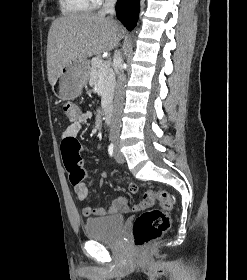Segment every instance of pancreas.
I'll list each match as a JSON object with an SVG mask.
<instances>
[{
	"label": "pancreas",
	"instance_id": "obj_1",
	"mask_svg": "<svg viewBox=\"0 0 247 280\" xmlns=\"http://www.w3.org/2000/svg\"><path fill=\"white\" fill-rule=\"evenodd\" d=\"M103 60L99 57H94L91 61V69L89 76V83L92 86H97L98 80H102V95H101V106L105 107L111 100L114 86H115V77L114 72L110 66L101 70V64Z\"/></svg>",
	"mask_w": 247,
	"mask_h": 280
}]
</instances>
